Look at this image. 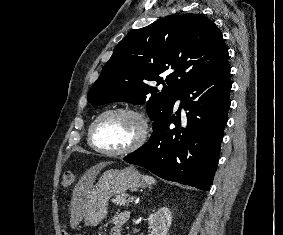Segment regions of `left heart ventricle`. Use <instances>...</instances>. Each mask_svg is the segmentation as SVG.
<instances>
[{
    "label": "left heart ventricle",
    "instance_id": "b2bd125f",
    "mask_svg": "<svg viewBox=\"0 0 283 235\" xmlns=\"http://www.w3.org/2000/svg\"><path fill=\"white\" fill-rule=\"evenodd\" d=\"M138 121L124 113L102 118L94 130V142L102 149L115 151L130 145L139 133Z\"/></svg>",
    "mask_w": 283,
    "mask_h": 235
}]
</instances>
